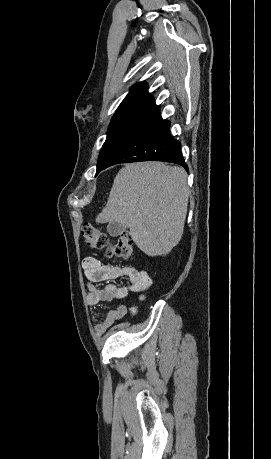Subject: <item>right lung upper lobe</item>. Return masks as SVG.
I'll list each match as a JSON object with an SVG mask.
<instances>
[{
    "mask_svg": "<svg viewBox=\"0 0 271 459\" xmlns=\"http://www.w3.org/2000/svg\"><path fill=\"white\" fill-rule=\"evenodd\" d=\"M131 111H149L159 114V108L154 102V98L148 93L146 82L136 84L116 110V113ZM115 113V114H116Z\"/></svg>",
    "mask_w": 271,
    "mask_h": 459,
    "instance_id": "right-lung-upper-lobe-1",
    "label": "right lung upper lobe"
}]
</instances>
